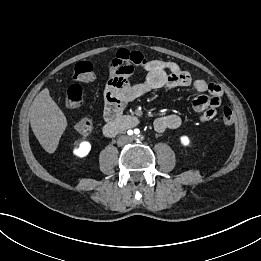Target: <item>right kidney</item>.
I'll use <instances>...</instances> for the list:
<instances>
[{
    "label": "right kidney",
    "mask_w": 261,
    "mask_h": 261,
    "mask_svg": "<svg viewBox=\"0 0 261 261\" xmlns=\"http://www.w3.org/2000/svg\"><path fill=\"white\" fill-rule=\"evenodd\" d=\"M91 150V144L87 141L81 142L78 148L74 149V154L78 157H85Z\"/></svg>",
    "instance_id": "1"
}]
</instances>
